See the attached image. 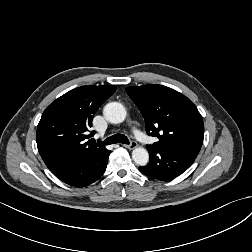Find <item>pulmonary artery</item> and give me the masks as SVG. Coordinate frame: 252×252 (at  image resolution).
<instances>
[{"mask_svg": "<svg viewBox=\"0 0 252 252\" xmlns=\"http://www.w3.org/2000/svg\"><path fill=\"white\" fill-rule=\"evenodd\" d=\"M137 138L140 139V140L143 139V137H141L140 134H137ZM147 141H148V139L146 138V139L144 140V142H147Z\"/></svg>", "mask_w": 252, "mask_h": 252, "instance_id": "e3ab8cb5", "label": "pulmonary artery"}]
</instances>
